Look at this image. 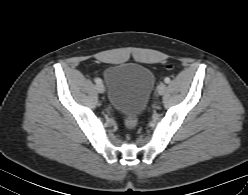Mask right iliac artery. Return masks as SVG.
I'll use <instances>...</instances> for the list:
<instances>
[{
  "instance_id": "obj_1",
  "label": "right iliac artery",
  "mask_w": 248,
  "mask_h": 195,
  "mask_svg": "<svg viewBox=\"0 0 248 195\" xmlns=\"http://www.w3.org/2000/svg\"><path fill=\"white\" fill-rule=\"evenodd\" d=\"M97 84H100V83H102V80L100 79V78H95V80H94Z\"/></svg>"
}]
</instances>
